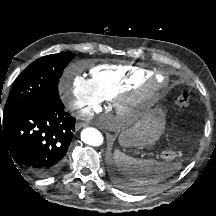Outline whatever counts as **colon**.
Segmentation results:
<instances>
[{
    "instance_id": "obj_1",
    "label": "colon",
    "mask_w": 216,
    "mask_h": 216,
    "mask_svg": "<svg viewBox=\"0 0 216 216\" xmlns=\"http://www.w3.org/2000/svg\"><path fill=\"white\" fill-rule=\"evenodd\" d=\"M190 104V94L187 91H183L176 97V105L179 108H187ZM180 152L177 150H166L163 152V157L168 160H172L180 157Z\"/></svg>"
}]
</instances>
